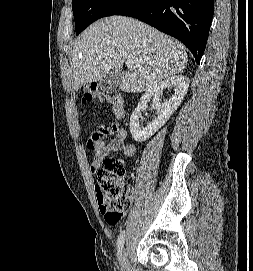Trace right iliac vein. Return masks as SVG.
I'll return each instance as SVG.
<instances>
[{"mask_svg":"<svg viewBox=\"0 0 253 271\" xmlns=\"http://www.w3.org/2000/svg\"><path fill=\"white\" fill-rule=\"evenodd\" d=\"M121 270L122 271H130V266H129V262H128V257H127V253L126 250L124 249L121 255Z\"/></svg>","mask_w":253,"mask_h":271,"instance_id":"right-iliac-vein-1","label":"right iliac vein"}]
</instances>
